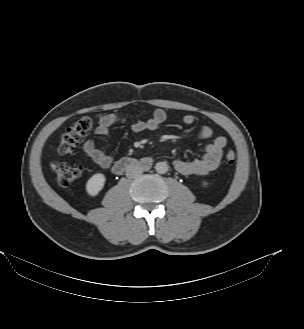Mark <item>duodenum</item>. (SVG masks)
<instances>
[{
	"label": "duodenum",
	"instance_id": "1",
	"mask_svg": "<svg viewBox=\"0 0 304 329\" xmlns=\"http://www.w3.org/2000/svg\"><path fill=\"white\" fill-rule=\"evenodd\" d=\"M145 164L146 162L139 163L137 160L133 158H123L114 164L113 172L118 175V174H122L127 170L141 167Z\"/></svg>",
	"mask_w": 304,
	"mask_h": 329
}]
</instances>
